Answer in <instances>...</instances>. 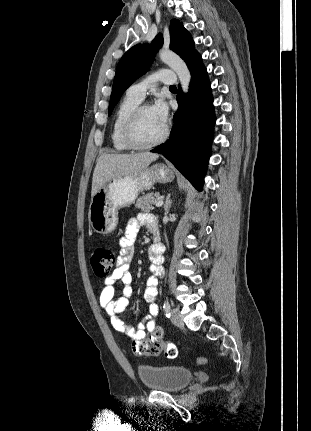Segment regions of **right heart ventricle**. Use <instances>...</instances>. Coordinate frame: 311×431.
I'll use <instances>...</instances> for the list:
<instances>
[{
  "instance_id": "1",
  "label": "right heart ventricle",
  "mask_w": 311,
  "mask_h": 431,
  "mask_svg": "<svg viewBox=\"0 0 311 431\" xmlns=\"http://www.w3.org/2000/svg\"><path fill=\"white\" fill-rule=\"evenodd\" d=\"M142 99L127 91L119 101L111 131V141L115 150L120 152L133 150L124 136V124L128 115L141 103Z\"/></svg>"
}]
</instances>
